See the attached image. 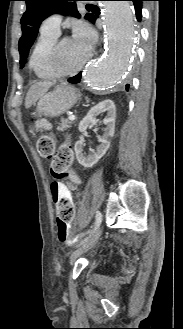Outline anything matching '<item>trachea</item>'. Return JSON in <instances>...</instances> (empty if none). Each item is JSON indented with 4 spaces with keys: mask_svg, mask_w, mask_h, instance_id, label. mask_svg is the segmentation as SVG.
<instances>
[{
    "mask_svg": "<svg viewBox=\"0 0 183 329\" xmlns=\"http://www.w3.org/2000/svg\"><path fill=\"white\" fill-rule=\"evenodd\" d=\"M92 6L91 4H88L87 7Z\"/></svg>",
    "mask_w": 183,
    "mask_h": 329,
    "instance_id": "1",
    "label": "trachea"
}]
</instances>
